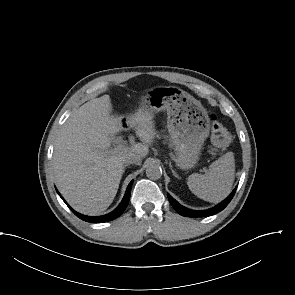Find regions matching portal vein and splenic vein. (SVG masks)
<instances>
[{"instance_id":"portal-vein-and-splenic-vein-1","label":"portal vein and splenic vein","mask_w":295,"mask_h":295,"mask_svg":"<svg viewBox=\"0 0 295 295\" xmlns=\"http://www.w3.org/2000/svg\"><path fill=\"white\" fill-rule=\"evenodd\" d=\"M137 149V144H132L131 146H125L124 144H120L117 147L108 150V153H120V152H127L129 150L134 151Z\"/></svg>"}]
</instances>
